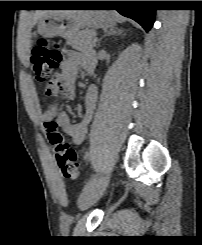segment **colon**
Here are the masks:
<instances>
[{
    "label": "colon",
    "mask_w": 202,
    "mask_h": 245,
    "mask_svg": "<svg viewBox=\"0 0 202 245\" xmlns=\"http://www.w3.org/2000/svg\"><path fill=\"white\" fill-rule=\"evenodd\" d=\"M63 60L59 48L50 47L45 39L39 40L32 50L31 64L35 80L39 83H47L45 95L51 97L55 94L56 85L51 82L54 71ZM48 138L53 147L56 161L62 175L67 178H77L80 175L77 165V154L65 142L64 136L60 133L55 120L45 122Z\"/></svg>",
    "instance_id": "5ec220e1"
}]
</instances>
